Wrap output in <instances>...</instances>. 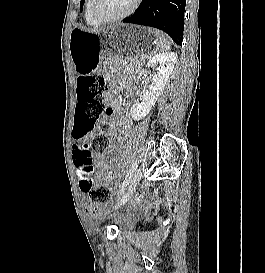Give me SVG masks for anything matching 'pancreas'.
<instances>
[{"label":"pancreas","instance_id":"1","mask_svg":"<svg viewBox=\"0 0 265 273\" xmlns=\"http://www.w3.org/2000/svg\"><path fill=\"white\" fill-rule=\"evenodd\" d=\"M129 61H130L129 65H139V64L144 63L143 58H141L140 60L134 58V59H130Z\"/></svg>","mask_w":265,"mask_h":273}]
</instances>
